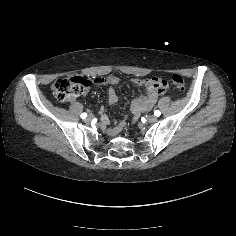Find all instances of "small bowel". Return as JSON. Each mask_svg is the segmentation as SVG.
Here are the masks:
<instances>
[{
  "mask_svg": "<svg viewBox=\"0 0 236 236\" xmlns=\"http://www.w3.org/2000/svg\"><path fill=\"white\" fill-rule=\"evenodd\" d=\"M157 81H158V80L154 79V82L157 83ZM97 82H99V83H111V84H115V83H117V78H115V77L99 78V79H97ZM138 83H139V84H142L143 82H138ZM148 83H149V82H148ZM117 100H118V98H117L116 92H115L114 89L111 88V89L109 90V101H110L111 103H116ZM154 102H155V98H154V97H153V98H150L149 100H147L146 104H145L143 107L139 108L140 111L149 109V108L154 104Z\"/></svg>",
  "mask_w": 236,
  "mask_h": 236,
  "instance_id": "c3829d8e",
  "label": "small bowel"
}]
</instances>
